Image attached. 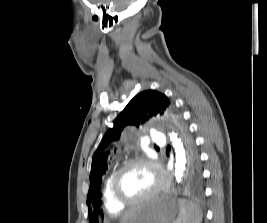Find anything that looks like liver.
Returning a JSON list of instances; mask_svg holds the SVG:
<instances>
[{
    "label": "liver",
    "mask_w": 267,
    "mask_h": 223,
    "mask_svg": "<svg viewBox=\"0 0 267 223\" xmlns=\"http://www.w3.org/2000/svg\"><path fill=\"white\" fill-rule=\"evenodd\" d=\"M132 211H133V209L132 210H130V211H128V212H126L124 215H123V217L121 218V223H125L127 220H128V218L131 216V214H132Z\"/></svg>",
    "instance_id": "1"
}]
</instances>
